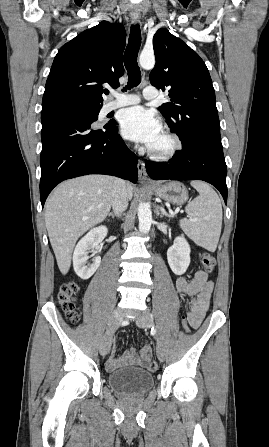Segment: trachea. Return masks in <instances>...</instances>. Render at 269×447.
Returning <instances> with one entry per match:
<instances>
[{
    "label": "trachea",
    "mask_w": 269,
    "mask_h": 447,
    "mask_svg": "<svg viewBox=\"0 0 269 447\" xmlns=\"http://www.w3.org/2000/svg\"><path fill=\"white\" fill-rule=\"evenodd\" d=\"M141 46V32L139 25H132L129 42L124 54V65L128 72L127 89L137 87L141 82V72L137 63V55Z\"/></svg>",
    "instance_id": "3493384b"
}]
</instances>
